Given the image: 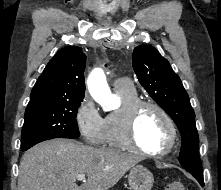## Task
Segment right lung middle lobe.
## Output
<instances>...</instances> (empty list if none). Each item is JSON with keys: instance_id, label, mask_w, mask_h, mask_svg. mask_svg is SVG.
Segmentation results:
<instances>
[{"instance_id": "obj_1", "label": "right lung middle lobe", "mask_w": 221, "mask_h": 190, "mask_svg": "<svg viewBox=\"0 0 221 190\" xmlns=\"http://www.w3.org/2000/svg\"><path fill=\"white\" fill-rule=\"evenodd\" d=\"M81 102H47L27 106L21 133L22 151L53 138L80 136L77 112Z\"/></svg>"}]
</instances>
